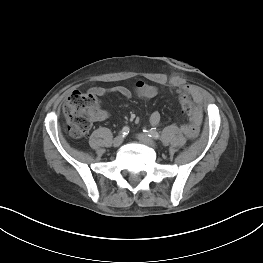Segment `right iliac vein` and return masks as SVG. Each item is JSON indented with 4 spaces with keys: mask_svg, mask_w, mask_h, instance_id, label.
Wrapping results in <instances>:
<instances>
[{
    "mask_svg": "<svg viewBox=\"0 0 263 263\" xmlns=\"http://www.w3.org/2000/svg\"><path fill=\"white\" fill-rule=\"evenodd\" d=\"M123 140H124V138H123L122 135L116 136V137L114 138V140H113V146H114V147L120 146V145L122 144Z\"/></svg>",
    "mask_w": 263,
    "mask_h": 263,
    "instance_id": "1",
    "label": "right iliac vein"
}]
</instances>
